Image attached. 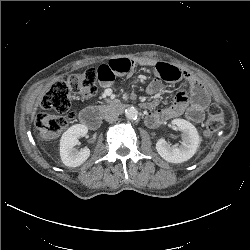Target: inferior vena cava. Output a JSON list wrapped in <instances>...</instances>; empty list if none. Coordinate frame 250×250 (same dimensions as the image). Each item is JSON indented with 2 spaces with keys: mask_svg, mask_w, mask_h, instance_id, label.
Instances as JSON below:
<instances>
[{
  "mask_svg": "<svg viewBox=\"0 0 250 250\" xmlns=\"http://www.w3.org/2000/svg\"><path fill=\"white\" fill-rule=\"evenodd\" d=\"M119 116L118 111L116 110H108L105 114H104V119L106 121H114L117 117Z\"/></svg>",
  "mask_w": 250,
  "mask_h": 250,
  "instance_id": "obj_1",
  "label": "inferior vena cava"
}]
</instances>
